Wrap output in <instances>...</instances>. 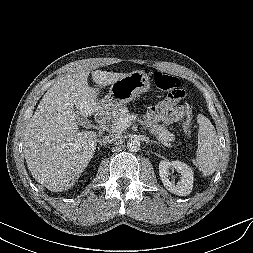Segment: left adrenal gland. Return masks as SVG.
I'll use <instances>...</instances> for the list:
<instances>
[{"mask_svg": "<svg viewBox=\"0 0 253 253\" xmlns=\"http://www.w3.org/2000/svg\"><path fill=\"white\" fill-rule=\"evenodd\" d=\"M152 143H154V144H159L157 141H152Z\"/></svg>", "mask_w": 253, "mask_h": 253, "instance_id": "obj_1", "label": "left adrenal gland"}]
</instances>
